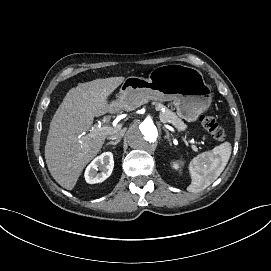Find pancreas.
<instances>
[{"label": "pancreas", "instance_id": "cf45deb5", "mask_svg": "<svg viewBox=\"0 0 271 271\" xmlns=\"http://www.w3.org/2000/svg\"><path fill=\"white\" fill-rule=\"evenodd\" d=\"M162 107L160 108V110ZM160 120L162 122H170L174 125L178 131H183L186 127L181 120H179L170 110L166 109L165 112L160 114Z\"/></svg>", "mask_w": 271, "mask_h": 271}]
</instances>
